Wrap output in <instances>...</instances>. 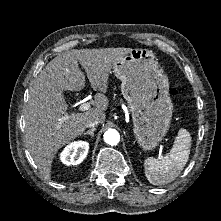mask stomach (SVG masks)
<instances>
[{"mask_svg": "<svg viewBox=\"0 0 221 221\" xmlns=\"http://www.w3.org/2000/svg\"><path fill=\"white\" fill-rule=\"evenodd\" d=\"M113 72L121 81L139 146L154 150L166 135L173 113L167 75L151 50L139 48L116 61Z\"/></svg>", "mask_w": 221, "mask_h": 221, "instance_id": "1", "label": "stomach"}]
</instances>
